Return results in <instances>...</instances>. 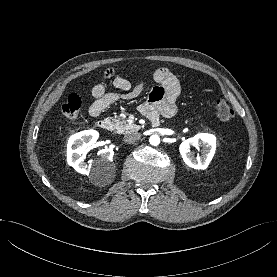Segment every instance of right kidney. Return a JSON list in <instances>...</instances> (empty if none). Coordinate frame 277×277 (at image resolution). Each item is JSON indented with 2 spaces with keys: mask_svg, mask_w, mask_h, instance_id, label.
<instances>
[{
  "mask_svg": "<svg viewBox=\"0 0 277 277\" xmlns=\"http://www.w3.org/2000/svg\"><path fill=\"white\" fill-rule=\"evenodd\" d=\"M99 134L95 130H85L72 135L68 140L67 162L77 172L88 175L92 164L84 162L82 154L84 151L93 147ZM114 152L112 149H103L100 151V159L97 163L112 162Z\"/></svg>",
  "mask_w": 277,
  "mask_h": 277,
  "instance_id": "ca27d5eb",
  "label": "right kidney"
}]
</instances>
